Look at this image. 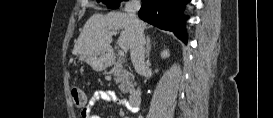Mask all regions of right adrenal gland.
<instances>
[{"instance_id":"2a0ac1e0","label":"right adrenal gland","mask_w":273,"mask_h":118,"mask_svg":"<svg viewBox=\"0 0 273 118\" xmlns=\"http://www.w3.org/2000/svg\"><path fill=\"white\" fill-rule=\"evenodd\" d=\"M150 50H151L150 36H147L146 58H149V56H150Z\"/></svg>"}]
</instances>
